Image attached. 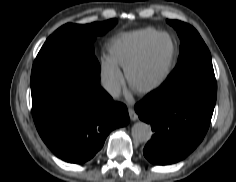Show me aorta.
<instances>
[{
  "instance_id": "obj_1",
  "label": "aorta",
  "mask_w": 236,
  "mask_h": 182,
  "mask_svg": "<svg viewBox=\"0 0 236 182\" xmlns=\"http://www.w3.org/2000/svg\"><path fill=\"white\" fill-rule=\"evenodd\" d=\"M132 137L136 142L144 143L150 140L152 131L145 122H136L131 129Z\"/></svg>"
}]
</instances>
